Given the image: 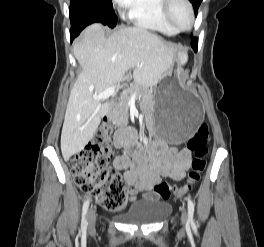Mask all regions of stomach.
I'll use <instances>...</instances> for the list:
<instances>
[{
	"instance_id": "stomach-1",
	"label": "stomach",
	"mask_w": 264,
	"mask_h": 247,
	"mask_svg": "<svg viewBox=\"0 0 264 247\" xmlns=\"http://www.w3.org/2000/svg\"><path fill=\"white\" fill-rule=\"evenodd\" d=\"M182 63L171 64L167 75L153 92L154 131L164 141L178 144L190 141L203 120L204 111L196 94L184 91L178 82Z\"/></svg>"
}]
</instances>
